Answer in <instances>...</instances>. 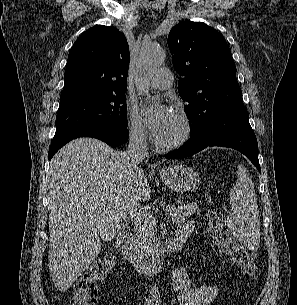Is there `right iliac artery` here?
Here are the masks:
<instances>
[{
    "mask_svg": "<svg viewBox=\"0 0 297 305\" xmlns=\"http://www.w3.org/2000/svg\"><path fill=\"white\" fill-rule=\"evenodd\" d=\"M154 304V297H148L145 301L144 305H153Z\"/></svg>",
    "mask_w": 297,
    "mask_h": 305,
    "instance_id": "1",
    "label": "right iliac artery"
}]
</instances>
